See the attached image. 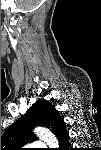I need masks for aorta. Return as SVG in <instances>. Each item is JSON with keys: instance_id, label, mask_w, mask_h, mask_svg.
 <instances>
[{"instance_id": "obj_1", "label": "aorta", "mask_w": 101, "mask_h": 150, "mask_svg": "<svg viewBox=\"0 0 101 150\" xmlns=\"http://www.w3.org/2000/svg\"><path fill=\"white\" fill-rule=\"evenodd\" d=\"M35 134L47 143L50 147H58V140L56 136L47 128L37 127L34 130Z\"/></svg>"}]
</instances>
